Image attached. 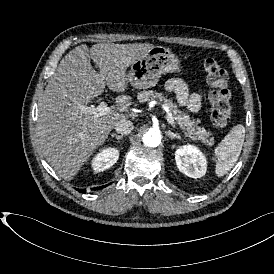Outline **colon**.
<instances>
[{"mask_svg": "<svg viewBox=\"0 0 274 274\" xmlns=\"http://www.w3.org/2000/svg\"><path fill=\"white\" fill-rule=\"evenodd\" d=\"M208 83L212 86L209 93L211 119L216 126L227 125L232 114V94L228 84V73L220 63L212 57L202 60Z\"/></svg>", "mask_w": 274, "mask_h": 274, "instance_id": "colon-1", "label": "colon"}]
</instances>
